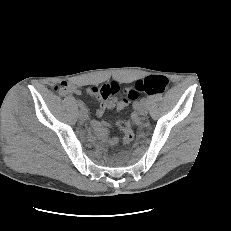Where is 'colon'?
I'll use <instances>...</instances> for the list:
<instances>
[{
	"label": "colon",
	"instance_id": "obj_1",
	"mask_svg": "<svg viewBox=\"0 0 231 231\" xmlns=\"http://www.w3.org/2000/svg\"><path fill=\"white\" fill-rule=\"evenodd\" d=\"M168 86V79L162 75H152L144 79L137 80L128 87L121 88L116 83H111L104 85L102 87L103 97H114L120 91H122L128 99H135L140 94L146 93L149 95L162 94ZM61 86H58L57 89H61ZM119 127L122 132V144L128 145L133 140V131L131 129V124L128 121L121 122Z\"/></svg>",
	"mask_w": 231,
	"mask_h": 231
}]
</instances>
